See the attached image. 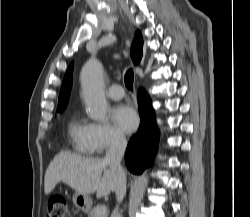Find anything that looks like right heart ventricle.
Returning <instances> with one entry per match:
<instances>
[{"label": "right heart ventricle", "mask_w": 250, "mask_h": 217, "mask_svg": "<svg viewBox=\"0 0 250 217\" xmlns=\"http://www.w3.org/2000/svg\"><path fill=\"white\" fill-rule=\"evenodd\" d=\"M68 136L73 149L82 154H89L88 144V124L84 122L77 114H74L67 126Z\"/></svg>", "instance_id": "1"}]
</instances>
